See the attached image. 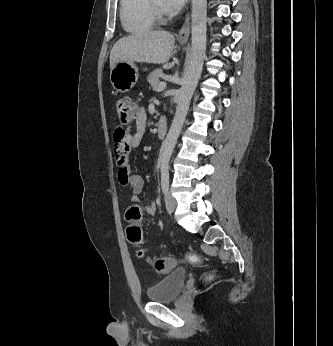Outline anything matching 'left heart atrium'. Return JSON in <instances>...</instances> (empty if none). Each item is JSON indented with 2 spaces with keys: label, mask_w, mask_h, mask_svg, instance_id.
Wrapping results in <instances>:
<instances>
[{
  "label": "left heart atrium",
  "mask_w": 333,
  "mask_h": 346,
  "mask_svg": "<svg viewBox=\"0 0 333 346\" xmlns=\"http://www.w3.org/2000/svg\"><path fill=\"white\" fill-rule=\"evenodd\" d=\"M187 0H161L162 9L167 13H175L179 11Z\"/></svg>",
  "instance_id": "39dd6f15"
}]
</instances>
